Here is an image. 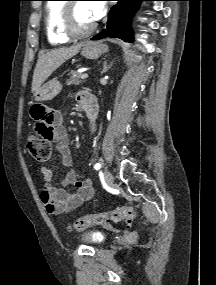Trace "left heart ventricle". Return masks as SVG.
<instances>
[{
    "label": "left heart ventricle",
    "mask_w": 216,
    "mask_h": 285,
    "mask_svg": "<svg viewBox=\"0 0 216 285\" xmlns=\"http://www.w3.org/2000/svg\"><path fill=\"white\" fill-rule=\"evenodd\" d=\"M74 18L77 28L81 30L87 29L94 24L87 8V4L84 2H77L75 4Z\"/></svg>",
    "instance_id": "left-heart-ventricle-1"
}]
</instances>
